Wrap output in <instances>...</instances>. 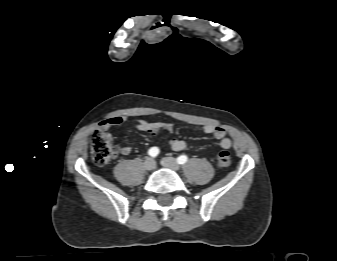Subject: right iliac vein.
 Wrapping results in <instances>:
<instances>
[{"mask_svg": "<svg viewBox=\"0 0 337 261\" xmlns=\"http://www.w3.org/2000/svg\"><path fill=\"white\" fill-rule=\"evenodd\" d=\"M144 167L146 170H153L156 167V163L153 158H147L144 162Z\"/></svg>", "mask_w": 337, "mask_h": 261, "instance_id": "right-iliac-vein-1", "label": "right iliac vein"}]
</instances>
